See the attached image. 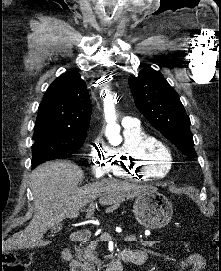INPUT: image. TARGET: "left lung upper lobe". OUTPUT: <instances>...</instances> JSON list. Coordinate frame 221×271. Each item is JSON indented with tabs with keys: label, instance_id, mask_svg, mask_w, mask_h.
I'll return each mask as SVG.
<instances>
[{
	"label": "left lung upper lobe",
	"instance_id": "1",
	"mask_svg": "<svg viewBox=\"0 0 221 271\" xmlns=\"http://www.w3.org/2000/svg\"><path fill=\"white\" fill-rule=\"evenodd\" d=\"M135 104L163 136L190 158L196 157L190 119L176 91L160 71L146 67L128 80Z\"/></svg>",
	"mask_w": 221,
	"mask_h": 271
}]
</instances>
